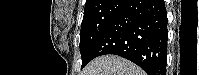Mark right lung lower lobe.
Instances as JSON below:
<instances>
[{
  "mask_svg": "<svg viewBox=\"0 0 199 75\" xmlns=\"http://www.w3.org/2000/svg\"><path fill=\"white\" fill-rule=\"evenodd\" d=\"M167 40L164 0H128L93 47L91 60L115 54L148 75H166Z\"/></svg>",
  "mask_w": 199,
  "mask_h": 75,
  "instance_id": "obj_1",
  "label": "right lung lower lobe"
}]
</instances>
